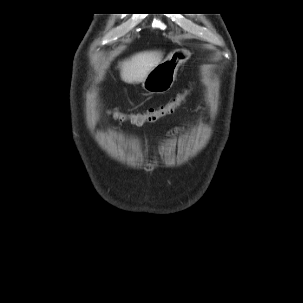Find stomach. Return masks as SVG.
I'll return each mask as SVG.
<instances>
[{
  "mask_svg": "<svg viewBox=\"0 0 303 303\" xmlns=\"http://www.w3.org/2000/svg\"><path fill=\"white\" fill-rule=\"evenodd\" d=\"M191 53L185 49H176L154 67L142 81V88L150 94H162L173 85L178 67L185 62Z\"/></svg>",
  "mask_w": 303,
  "mask_h": 303,
  "instance_id": "0dacf381",
  "label": "stomach"
}]
</instances>
